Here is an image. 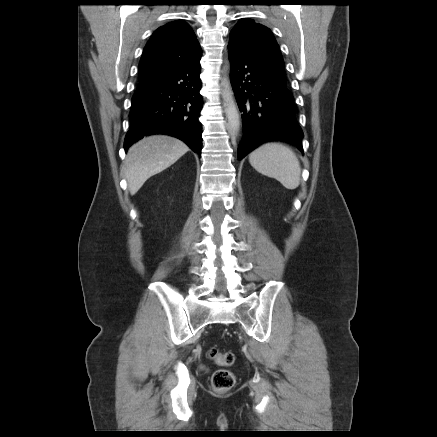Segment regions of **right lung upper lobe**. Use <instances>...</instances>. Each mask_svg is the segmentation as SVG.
<instances>
[{
  "instance_id": "right-lung-upper-lobe-1",
  "label": "right lung upper lobe",
  "mask_w": 437,
  "mask_h": 437,
  "mask_svg": "<svg viewBox=\"0 0 437 437\" xmlns=\"http://www.w3.org/2000/svg\"><path fill=\"white\" fill-rule=\"evenodd\" d=\"M202 55L195 33L184 21L159 27L147 42L139 63V84L183 67Z\"/></svg>"
}]
</instances>
